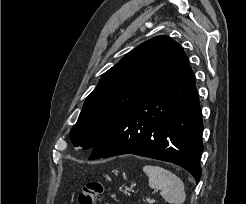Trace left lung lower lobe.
<instances>
[{
    "mask_svg": "<svg viewBox=\"0 0 246 204\" xmlns=\"http://www.w3.org/2000/svg\"><path fill=\"white\" fill-rule=\"evenodd\" d=\"M202 113L188 65L122 117L93 147L89 160L121 154L175 163L201 177Z\"/></svg>",
    "mask_w": 246,
    "mask_h": 204,
    "instance_id": "left-lung-lower-lobe-1",
    "label": "left lung lower lobe"
}]
</instances>
